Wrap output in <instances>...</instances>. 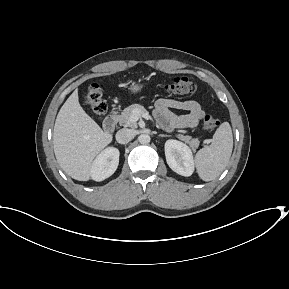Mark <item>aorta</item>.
I'll return each instance as SVG.
<instances>
[{
    "instance_id": "obj_1",
    "label": "aorta",
    "mask_w": 289,
    "mask_h": 289,
    "mask_svg": "<svg viewBox=\"0 0 289 289\" xmlns=\"http://www.w3.org/2000/svg\"><path fill=\"white\" fill-rule=\"evenodd\" d=\"M138 140L141 144H148L150 142V136L148 134H141Z\"/></svg>"
}]
</instances>
